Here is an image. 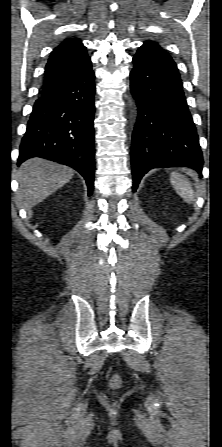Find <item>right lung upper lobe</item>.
Listing matches in <instances>:
<instances>
[{
	"instance_id": "1",
	"label": "right lung upper lobe",
	"mask_w": 222,
	"mask_h": 447,
	"mask_svg": "<svg viewBox=\"0 0 222 447\" xmlns=\"http://www.w3.org/2000/svg\"><path fill=\"white\" fill-rule=\"evenodd\" d=\"M87 59L86 48L80 39H66L51 52L45 67L42 92L70 77Z\"/></svg>"
}]
</instances>
